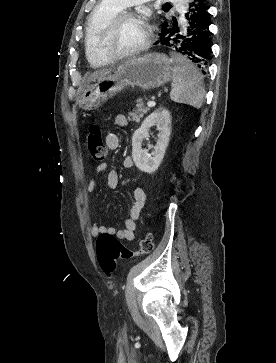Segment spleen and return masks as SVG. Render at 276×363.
<instances>
[{"mask_svg": "<svg viewBox=\"0 0 276 363\" xmlns=\"http://www.w3.org/2000/svg\"><path fill=\"white\" fill-rule=\"evenodd\" d=\"M173 75L170 98L176 103H183L195 108L202 106L205 89L203 77L187 58L172 54Z\"/></svg>", "mask_w": 276, "mask_h": 363, "instance_id": "obj_1", "label": "spleen"}]
</instances>
